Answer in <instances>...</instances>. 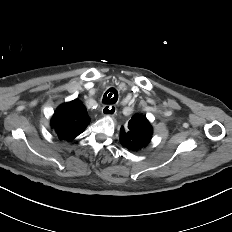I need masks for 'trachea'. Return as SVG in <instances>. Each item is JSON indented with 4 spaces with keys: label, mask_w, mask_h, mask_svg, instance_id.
<instances>
[{
    "label": "trachea",
    "mask_w": 232,
    "mask_h": 232,
    "mask_svg": "<svg viewBox=\"0 0 232 232\" xmlns=\"http://www.w3.org/2000/svg\"><path fill=\"white\" fill-rule=\"evenodd\" d=\"M118 100V92L115 88L108 89L103 96L102 102L105 104H115Z\"/></svg>",
    "instance_id": "obj_1"
}]
</instances>
